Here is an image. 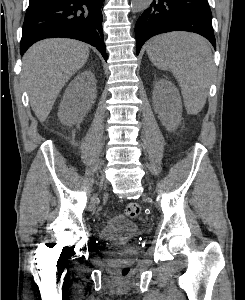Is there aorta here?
I'll return each mask as SVG.
<instances>
[{
	"instance_id": "762f6f07",
	"label": "aorta",
	"mask_w": 245,
	"mask_h": 300,
	"mask_svg": "<svg viewBox=\"0 0 245 300\" xmlns=\"http://www.w3.org/2000/svg\"><path fill=\"white\" fill-rule=\"evenodd\" d=\"M153 0H131V10L133 13L141 12L148 8Z\"/></svg>"
}]
</instances>
